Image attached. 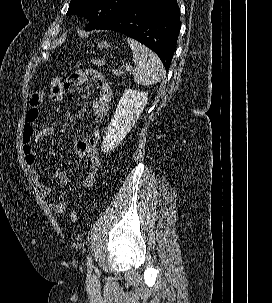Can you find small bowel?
Masks as SVG:
<instances>
[{"instance_id": "obj_1", "label": "small bowel", "mask_w": 272, "mask_h": 303, "mask_svg": "<svg viewBox=\"0 0 272 303\" xmlns=\"http://www.w3.org/2000/svg\"><path fill=\"white\" fill-rule=\"evenodd\" d=\"M87 81H93L99 88V94L93 103V112L95 123L97 126H100L109 113L112 100V89L106 78L95 70H80L69 77L65 82L64 87L66 89H71L80 86ZM43 97V92L38 91L32 95L29 101V108L23 126L22 142L24 158L29 169L30 177L40 196L44 200H48L51 194V188L45 183L44 178L39 174L36 168L37 155L35 152V144L38 139L50 136L54 131L52 126H45L40 131L36 130ZM99 139L100 131L97 127L86 138L78 139L73 142L76 154L79 157L87 158L89 162L85 177L80 183V188L84 190L90 189L94 185L97 172L101 167V159L96 150ZM53 178L63 185L69 183L67 172L61 168L54 170ZM49 207L55 214H63L67 209V203L63 200L52 201L50 202Z\"/></svg>"}]
</instances>
